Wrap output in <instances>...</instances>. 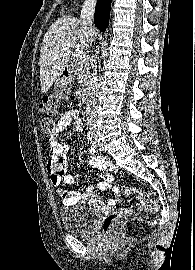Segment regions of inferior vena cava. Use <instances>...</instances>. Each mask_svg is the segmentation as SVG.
Masks as SVG:
<instances>
[{"instance_id": "1", "label": "inferior vena cava", "mask_w": 195, "mask_h": 270, "mask_svg": "<svg viewBox=\"0 0 195 270\" xmlns=\"http://www.w3.org/2000/svg\"><path fill=\"white\" fill-rule=\"evenodd\" d=\"M96 0H85L84 5L81 10V20L83 24L92 28V19L94 16ZM94 41V38L92 39ZM92 78H91V91L89 94V99L86 105V116L88 123L90 124L91 131H96L94 118L96 116V105H97V95L100 89L99 76L97 74V62L96 59H92Z\"/></svg>"}]
</instances>
